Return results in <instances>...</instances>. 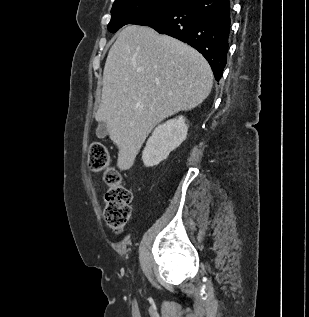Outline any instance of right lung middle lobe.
<instances>
[{
	"instance_id": "obj_1",
	"label": "right lung middle lobe",
	"mask_w": 309,
	"mask_h": 317,
	"mask_svg": "<svg viewBox=\"0 0 309 317\" xmlns=\"http://www.w3.org/2000/svg\"><path fill=\"white\" fill-rule=\"evenodd\" d=\"M184 0H115L111 10V21L108 30L115 33L122 26L136 18Z\"/></svg>"
}]
</instances>
